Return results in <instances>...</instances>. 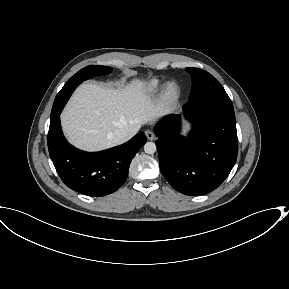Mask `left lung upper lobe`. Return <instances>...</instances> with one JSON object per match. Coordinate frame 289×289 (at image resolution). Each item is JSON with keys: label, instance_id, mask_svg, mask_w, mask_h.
<instances>
[{"label": "left lung upper lobe", "instance_id": "1", "mask_svg": "<svg viewBox=\"0 0 289 289\" xmlns=\"http://www.w3.org/2000/svg\"><path fill=\"white\" fill-rule=\"evenodd\" d=\"M186 71L192 78L189 100L214 99L232 103L224 88L210 73L199 68H186Z\"/></svg>", "mask_w": 289, "mask_h": 289}]
</instances>
